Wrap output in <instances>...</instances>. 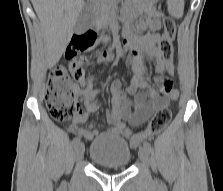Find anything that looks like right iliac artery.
Returning <instances> with one entry per match:
<instances>
[{
  "label": "right iliac artery",
  "mask_w": 223,
  "mask_h": 191,
  "mask_svg": "<svg viewBox=\"0 0 223 191\" xmlns=\"http://www.w3.org/2000/svg\"><path fill=\"white\" fill-rule=\"evenodd\" d=\"M78 142H80V138H79V137H75V138H73V140H72V145H73V146H76V144H77Z\"/></svg>",
  "instance_id": "obj_1"
}]
</instances>
